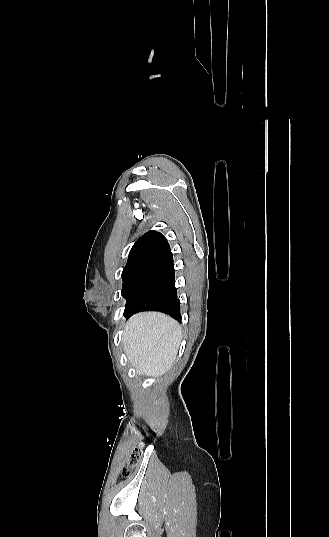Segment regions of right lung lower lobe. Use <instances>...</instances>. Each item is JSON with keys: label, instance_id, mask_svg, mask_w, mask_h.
Wrapping results in <instances>:
<instances>
[{"label": "right lung lower lobe", "instance_id": "1", "mask_svg": "<svg viewBox=\"0 0 329 537\" xmlns=\"http://www.w3.org/2000/svg\"><path fill=\"white\" fill-rule=\"evenodd\" d=\"M125 317L144 310H159L181 320L171 252L150 263L138 275L126 295Z\"/></svg>", "mask_w": 329, "mask_h": 537}]
</instances>
